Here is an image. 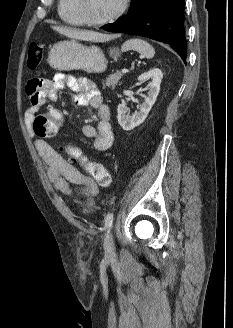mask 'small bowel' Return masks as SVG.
I'll return each mask as SVG.
<instances>
[{
  "mask_svg": "<svg viewBox=\"0 0 233 328\" xmlns=\"http://www.w3.org/2000/svg\"><path fill=\"white\" fill-rule=\"evenodd\" d=\"M67 88L77 106H90L97 110L98 123L94 127L86 124L82 128L85 137L93 141L98 151L111 148L114 134L111 125L109 107L104 103L102 92L90 79L75 78L71 75L58 73L53 79H31L26 86V93L30 105L25 112V122L31 123L35 115L48 106L57 96V93ZM36 150L45 167L48 179L54 187L65 194H71V184L83 187L82 192L87 196L98 193L95 180L80 173L56 149L44 140L35 142Z\"/></svg>",
  "mask_w": 233,
  "mask_h": 328,
  "instance_id": "obj_1",
  "label": "small bowel"
}]
</instances>
